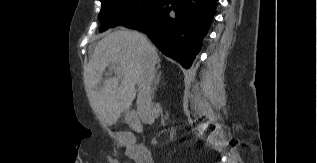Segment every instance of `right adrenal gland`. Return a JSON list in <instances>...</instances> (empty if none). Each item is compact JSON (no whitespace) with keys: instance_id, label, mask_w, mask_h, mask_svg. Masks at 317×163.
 <instances>
[{"instance_id":"right-adrenal-gland-1","label":"right adrenal gland","mask_w":317,"mask_h":163,"mask_svg":"<svg viewBox=\"0 0 317 163\" xmlns=\"http://www.w3.org/2000/svg\"><path fill=\"white\" fill-rule=\"evenodd\" d=\"M161 75H162V71H159V73L157 74V77H156V79H155V81H154L153 88H152L153 96H154V92H155L156 89H157V85H158L159 82H160Z\"/></svg>"}]
</instances>
